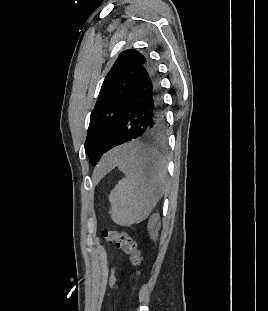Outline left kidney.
I'll return each instance as SVG.
<instances>
[{
  "label": "left kidney",
  "instance_id": "5707ae66",
  "mask_svg": "<svg viewBox=\"0 0 268 311\" xmlns=\"http://www.w3.org/2000/svg\"><path fill=\"white\" fill-rule=\"evenodd\" d=\"M159 227V215L158 214H154L151 219L150 222L148 224V231L151 235L152 238L156 237V233Z\"/></svg>",
  "mask_w": 268,
  "mask_h": 311
}]
</instances>
